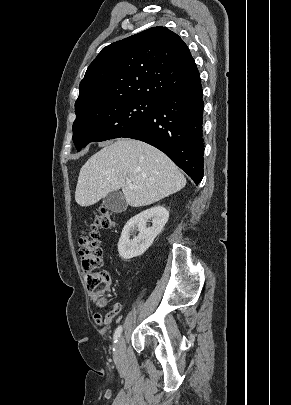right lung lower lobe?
I'll use <instances>...</instances> for the list:
<instances>
[{
	"label": "right lung lower lobe",
	"instance_id": "98d812e1",
	"mask_svg": "<svg viewBox=\"0 0 291 405\" xmlns=\"http://www.w3.org/2000/svg\"><path fill=\"white\" fill-rule=\"evenodd\" d=\"M203 90L200 77L156 99L150 116L125 134L163 151L196 185L203 178Z\"/></svg>",
	"mask_w": 291,
	"mask_h": 405
}]
</instances>
